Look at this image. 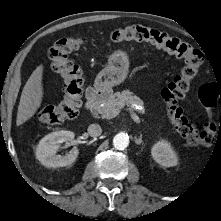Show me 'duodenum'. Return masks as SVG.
Here are the masks:
<instances>
[{"label": "duodenum", "mask_w": 221, "mask_h": 221, "mask_svg": "<svg viewBox=\"0 0 221 221\" xmlns=\"http://www.w3.org/2000/svg\"><path fill=\"white\" fill-rule=\"evenodd\" d=\"M107 91L103 88H92L87 91L86 95V107L88 109H94L105 98H107Z\"/></svg>", "instance_id": "duodenum-1"}]
</instances>
